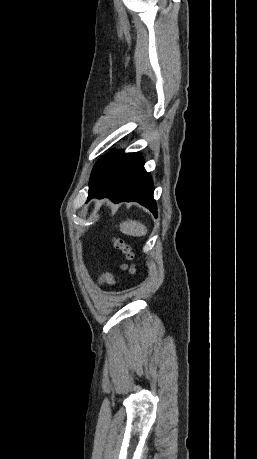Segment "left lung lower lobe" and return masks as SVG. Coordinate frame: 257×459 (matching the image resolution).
Returning <instances> with one entry per match:
<instances>
[{
  "label": "left lung lower lobe",
  "mask_w": 257,
  "mask_h": 459,
  "mask_svg": "<svg viewBox=\"0 0 257 459\" xmlns=\"http://www.w3.org/2000/svg\"><path fill=\"white\" fill-rule=\"evenodd\" d=\"M99 161L98 175L89 188L88 200L109 197L115 203L136 201L157 216L152 180L139 153L114 151Z\"/></svg>",
  "instance_id": "obj_1"
}]
</instances>
